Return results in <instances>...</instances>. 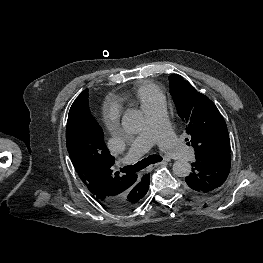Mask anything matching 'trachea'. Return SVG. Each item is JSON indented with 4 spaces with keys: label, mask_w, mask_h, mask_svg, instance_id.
Returning a JSON list of instances; mask_svg holds the SVG:
<instances>
[{
    "label": "trachea",
    "mask_w": 263,
    "mask_h": 263,
    "mask_svg": "<svg viewBox=\"0 0 263 263\" xmlns=\"http://www.w3.org/2000/svg\"><path fill=\"white\" fill-rule=\"evenodd\" d=\"M160 161H162V157L160 155H151L134 164L133 166H125L123 168H120V171L133 173L146 168L150 164L158 163Z\"/></svg>",
    "instance_id": "1"
}]
</instances>
